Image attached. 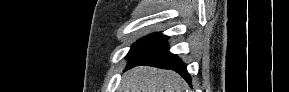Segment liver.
<instances>
[{
  "label": "liver",
  "mask_w": 289,
  "mask_h": 92,
  "mask_svg": "<svg viewBox=\"0 0 289 92\" xmlns=\"http://www.w3.org/2000/svg\"><path fill=\"white\" fill-rule=\"evenodd\" d=\"M186 87L182 77L173 71L138 66L123 75L120 92H182Z\"/></svg>",
  "instance_id": "6515ba94"
}]
</instances>
